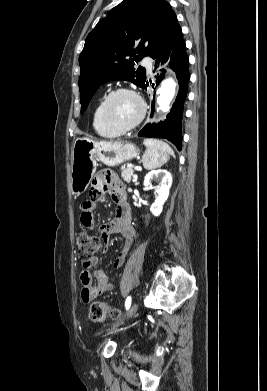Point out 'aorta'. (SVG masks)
<instances>
[{"mask_svg":"<svg viewBox=\"0 0 267 391\" xmlns=\"http://www.w3.org/2000/svg\"><path fill=\"white\" fill-rule=\"evenodd\" d=\"M176 92V82L173 78L169 77L165 79L161 87L158 89L157 103L159 105L158 110L166 112L169 110V105L174 98Z\"/></svg>","mask_w":267,"mask_h":391,"instance_id":"1","label":"aorta"}]
</instances>
